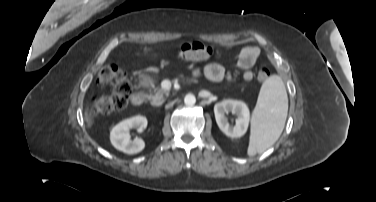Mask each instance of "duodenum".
<instances>
[{
	"label": "duodenum",
	"instance_id": "obj_1",
	"mask_svg": "<svg viewBox=\"0 0 376 202\" xmlns=\"http://www.w3.org/2000/svg\"><path fill=\"white\" fill-rule=\"evenodd\" d=\"M144 101V94L142 91H136L132 94L131 96V103L134 106H139L143 103Z\"/></svg>",
	"mask_w": 376,
	"mask_h": 202
}]
</instances>
